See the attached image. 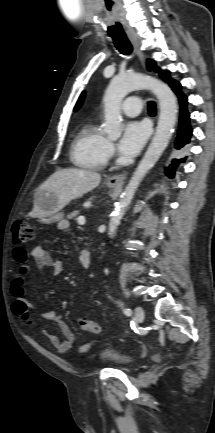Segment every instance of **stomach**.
<instances>
[{
	"instance_id": "0dacf381",
	"label": "stomach",
	"mask_w": 215,
	"mask_h": 433,
	"mask_svg": "<svg viewBox=\"0 0 215 433\" xmlns=\"http://www.w3.org/2000/svg\"><path fill=\"white\" fill-rule=\"evenodd\" d=\"M108 188L114 189L117 186L107 184ZM35 203L39 210L43 213L39 217V221L43 224H51L62 220L63 216L60 209L57 207L56 196L54 193L44 189H37L35 193Z\"/></svg>"
}]
</instances>
